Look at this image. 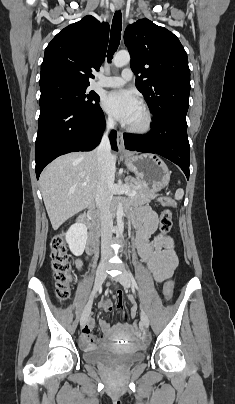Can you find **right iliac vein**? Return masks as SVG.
Returning a JSON list of instances; mask_svg holds the SVG:
<instances>
[{
	"instance_id": "1",
	"label": "right iliac vein",
	"mask_w": 235,
	"mask_h": 404,
	"mask_svg": "<svg viewBox=\"0 0 235 404\" xmlns=\"http://www.w3.org/2000/svg\"><path fill=\"white\" fill-rule=\"evenodd\" d=\"M106 278V263L102 262L99 264L97 271H96V276H95V283H94V290H93V296L90 298L89 302L87 303L81 320H80V326L83 327L85 326V324L87 323V318L88 315L91 311V306H92V302H93V297L96 293V291L100 288V286L102 285V283L104 282Z\"/></svg>"
}]
</instances>
